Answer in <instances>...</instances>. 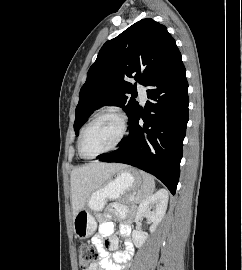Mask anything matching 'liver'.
<instances>
[{
	"label": "liver",
	"instance_id": "liver-1",
	"mask_svg": "<svg viewBox=\"0 0 242 270\" xmlns=\"http://www.w3.org/2000/svg\"><path fill=\"white\" fill-rule=\"evenodd\" d=\"M126 165L117 163L92 162L71 172V201L73 218L85 207L90 194L101 188Z\"/></svg>",
	"mask_w": 242,
	"mask_h": 270
}]
</instances>
